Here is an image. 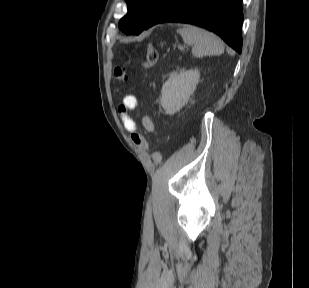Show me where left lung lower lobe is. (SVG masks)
<instances>
[{
	"mask_svg": "<svg viewBox=\"0 0 309 288\" xmlns=\"http://www.w3.org/2000/svg\"><path fill=\"white\" fill-rule=\"evenodd\" d=\"M164 22L188 23L206 28L241 53L242 0H164L135 35Z\"/></svg>",
	"mask_w": 309,
	"mask_h": 288,
	"instance_id": "obj_1",
	"label": "left lung lower lobe"
}]
</instances>
